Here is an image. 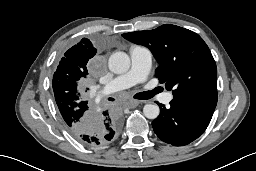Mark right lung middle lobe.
I'll list each match as a JSON object with an SVG mask.
<instances>
[{
    "instance_id": "obj_1",
    "label": "right lung middle lobe",
    "mask_w": 256,
    "mask_h": 171,
    "mask_svg": "<svg viewBox=\"0 0 256 171\" xmlns=\"http://www.w3.org/2000/svg\"><path fill=\"white\" fill-rule=\"evenodd\" d=\"M83 77L77 69L74 68V64L62 58L53 76V87L56 83L58 89L62 91L67 97L79 100L84 104L90 105L87 101L85 87L81 83ZM54 89V88H53Z\"/></svg>"
}]
</instances>
